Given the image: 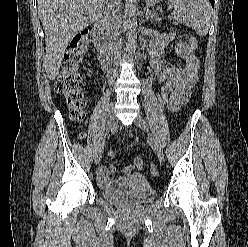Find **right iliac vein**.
Returning a JSON list of instances; mask_svg holds the SVG:
<instances>
[{
	"label": "right iliac vein",
	"instance_id": "right-iliac-vein-1",
	"mask_svg": "<svg viewBox=\"0 0 248 247\" xmlns=\"http://www.w3.org/2000/svg\"><path fill=\"white\" fill-rule=\"evenodd\" d=\"M114 104L112 103L110 106V110H109V114H108V122H107V130H106V135H108V133L112 130L113 126H114ZM103 149H104V144H100V146L98 147L96 154H95V158H94V162L95 164H98L101 160L102 157V153H103Z\"/></svg>",
	"mask_w": 248,
	"mask_h": 247
}]
</instances>
